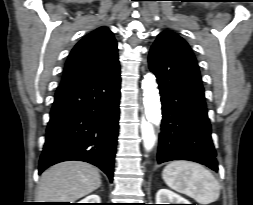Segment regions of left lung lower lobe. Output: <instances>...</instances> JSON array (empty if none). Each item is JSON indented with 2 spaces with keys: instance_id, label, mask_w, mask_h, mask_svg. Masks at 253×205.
Here are the masks:
<instances>
[{
  "instance_id": "0a47b994",
  "label": "left lung lower lobe",
  "mask_w": 253,
  "mask_h": 205,
  "mask_svg": "<svg viewBox=\"0 0 253 205\" xmlns=\"http://www.w3.org/2000/svg\"><path fill=\"white\" fill-rule=\"evenodd\" d=\"M162 102L157 161L190 160L217 171L204 88L189 45L173 32H162L149 53Z\"/></svg>"
}]
</instances>
